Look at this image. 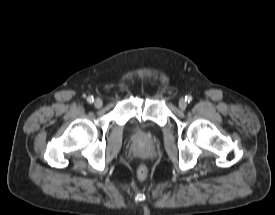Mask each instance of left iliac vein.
I'll return each mask as SVG.
<instances>
[{
    "label": "left iliac vein",
    "mask_w": 275,
    "mask_h": 215,
    "mask_svg": "<svg viewBox=\"0 0 275 215\" xmlns=\"http://www.w3.org/2000/svg\"><path fill=\"white\" fill-rule=\"evenodd\" d=\"M179 107H180V109H182V110H184V109L187 107V102H186L183 98H181V99L179 100Z\"/></svg>",
    "instance_id": "4c4485c4"
}]
</instances>
